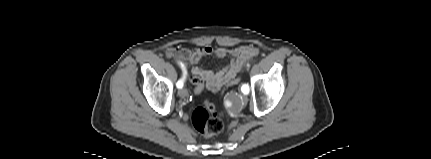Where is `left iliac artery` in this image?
<instances>
[{
	"mask_svg": "<svg viewBox=\"0 0 431 159\" xmlns=\"http://www.w3.org/2000/svg\"><path fill=\"white\" fill-rule=\"evenodd\" d=\"M241 91H242L244 94H248V93H249V86H248V85H246V84L242 85V87H241Z\"/></svg>",
	"mask_w": 431,
	"mask_h": 159,
	"instance_id": "left-iliac-artery-1",
	"label": "left iliac artery"
}]
</instances>
